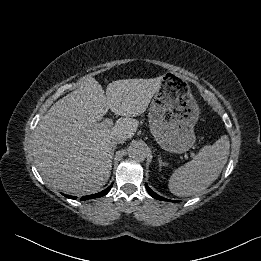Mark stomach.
Returning a JSON list of instances; mask_svg holds the SVG:
<instances>
[{
  "label": "stomach",
  "mask_w": 261,
  "mask_h": 261,
  "mask_svg": "<svg viewBox=\"0 0 261 261\" xmlns=\"http://www.w3.org/2000/svg\"><path fill=\"white\" fill-rule=\"evenodd\" d=\"M200 109L186 79L173 72L161 76L148 112L151 134L166 151L184 153L195 143Z\"/></svg>",
  "instance_id": "1"
}]
</instances>
